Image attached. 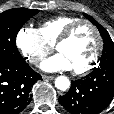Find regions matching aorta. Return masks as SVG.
I'll return each instance as SVG.
<instances>
[{
    "label": "aorta",
    "instance_id": "aorta-1",
    "mask_svg": "<svg viewBox=\"0 0 114 114\" xmlns=\"http://www.w3.org/2000/svg\"><path fill=\"white\" fill-rule=\"evenodd\" d=\"M55 86L59 90L66 91L70 87V81L65 76H59L55 79Z\"/></svg>",
    "mask_w": 114,
    "mask_h": 114
}]
</instances>
